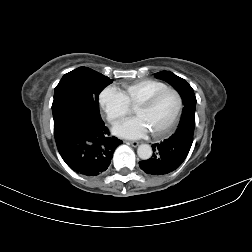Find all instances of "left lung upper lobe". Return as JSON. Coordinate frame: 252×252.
<instances>
[{"instance_id":"left-lung-upper-lobe-1","label":"left lung upper lobe","mask_w":252,"mask_h":252,"mask_svg":"<svg viewBox=\"0 0 252 252\" xmlns=\"http://www.w3.org/2000/svg\"><path fill=\"white\" fill-rule=\"evenodd\" d=\"M155 77L158 79L165 80L171 86H173L180 94L184 105H186V102H189L193 99L196 100L192 87L183 78L173 74L170 71L158 72L155 74ZM185 110L186 108H183L182 115L185 113ZM193 116H195V113H193Z\"/></svg>"}]
</instances>
